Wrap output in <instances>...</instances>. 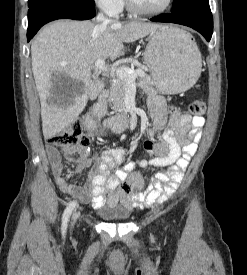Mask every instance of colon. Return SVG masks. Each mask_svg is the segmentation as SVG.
Returning <instances> with one entry per match:
<instances>
[{
  "label": "colon",
  "mask_w": 247,
  "mask_h": 275,
  "mask_svg": "<svg viewBox=\"0 0 247 275\" xmlns=\"http://www.w3.org/2000/svg\"><path fill=\"white\" fill-rule=\"evenodd\" d=\"M189 110L194 115H202L205 112V104L201 100H194L189 105ZM47 142L62 148L68 159L78 161L81 157L79 149L86 147L89 144V139L85 135L82 125L79 122H74L64 130L49 137Z\"/></svg>",
  "instance_id": "1"
}]
</instances>
